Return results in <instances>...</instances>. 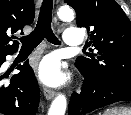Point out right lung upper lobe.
<instances>
[{"label": "right lung upper lobe", "instance_id": "1", "mask_svg": "<svg viewBox=\"0 0 131 115\" xmlns=\"http://www.w3.org/2000/svg\"><path fill=\"white\" fill-rule=\"evenodd\" d=\"M34 16L33 0H0V58L17 51L19 43H11L15 36L10 35L31 24Z\"/></svg>", "mask_w": 131, "mask_h": 115}]
</instances>
